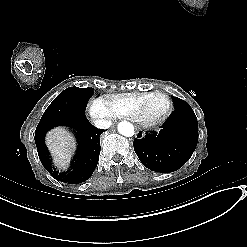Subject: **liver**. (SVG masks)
<instances>
[{"label": "liver", "instance_id": "6515ba94", "mask_svg": "<svg viewBox=\"0 0 247 247\" xmlns=\"http://www.w3.org/2000/svg\"><path fill=\"white\" fill-rule=\"evenodd\" d=\"M45 143L54 165L59 170H67L76 150V140L73 134L66 127L58 126L47 132Z\"/></svg>", "mask_w": 247, "mask_h": 247}]
</instances>
